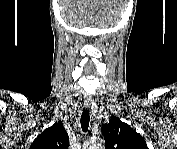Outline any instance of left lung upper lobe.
<instances>
[{
  "instance_id": "left-lung-upper-lobe-1",
  "label": "left lung upper lobe",
  "mask_w": 177,
  "mask_h": 149,
  "mask_svg": "<svg viewBox=\"0 0 177 149\" xmlns=\"http://www.w3.org/2000/svg\"><path fill=\"white\" fill-rule=\"evenodd\" d=\"M101 130L106 149H148L144 138L116 116H112Z\"/></svg>"
}]
</instances>
